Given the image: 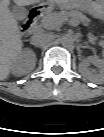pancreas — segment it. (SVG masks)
I'll list each match as a JSON object with an SVG mask.
<instances>
[{
  "mask_svg": "<svg viewBox=\"0 0 104 137\" xmlns=\"http://www.w3.org/2000/svg\"><path fill=\"white\" fill-rule=\"evenodd\" d=\"M71 17V22L73 23H79V22H85L88 21V18L84 15H82L81 12L78 11H71L66 12L62 11L59 13H53L45 16L42 20V25L47 29H53L56 27L61 26L63 23L68 22L69 18ZM94 43V41H92Z\"/></svg>",
  "mask_w": 104,
  "mask_h": 137,
  "instance_id": "1",
  "label": "pancreas"
}]
</instances>
